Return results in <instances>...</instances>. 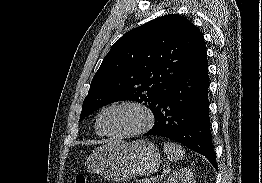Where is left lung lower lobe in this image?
Returning <instances> with one entry per match:
<instances>
[{"instance_id":"0a47b994","label":"left lung lower lobe","mask_w":262,"mask_h":183,"mask_svg":"<svg viewBox=\"0 0 262 183\" xmlns=\"http://www.w3.org/2000/svg\"><path fill=\"white\" fill-rule=\"evenodd\" d=\"M207 53L202 52L173 84L155 124L144 135L173 139L205 156L218 170L209 119Z\"/></svg>"}]
</instances>
